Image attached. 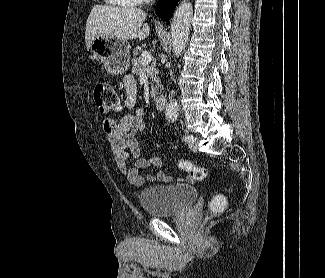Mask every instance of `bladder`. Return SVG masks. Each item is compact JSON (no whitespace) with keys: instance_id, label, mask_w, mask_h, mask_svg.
<instances>
[{"instance_id":"1","label":"bladder","mask_w":325,"mask_h":278,"mask_svg":"<svg viewBox=\"0 0 325 278\" xmlns=\"http://www.w3.org/2000/svg\"><path fill=\"white\" fill-rule=\"evenodd\" d=\"M197 197L195 186L182 183L149 186L139 193V201L151 217L183 212L194 204Z\"/></svg>"}]
</instances>
